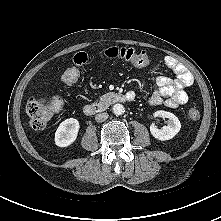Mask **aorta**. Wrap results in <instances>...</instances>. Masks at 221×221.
<instances>
[{
  "label": "aorta",
  "mask_w": 221,
  "mask_h": 221,
  "mask_svg": "<svg viewBox=\"0 0 221 221\" xmlns=\"http://www.w3.org/2000/svg\"><path fill=\"white\" fill-rule=\"evenodd\" d=\"M112 111L115 115H122L125 112V108L122 104H115L113 105Z\"/></svg>",
  "instance_id": "762f6f07"
}]
</instances>
